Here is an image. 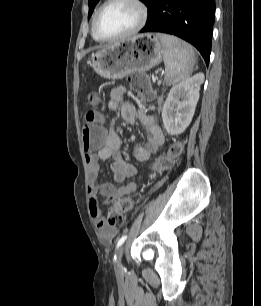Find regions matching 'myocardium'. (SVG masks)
Here are the masks:
<instances>
[{
    "mask_svg": "<svg viewBox=\"0 0 261 306\" xmlns=\"http://www.w3.org/2000/svg\"><path fill=\"white\" fill-rule=\"evenodd\" d=\"M119 1H125V2H129L135 5L139 10V14H140L139 20L137 24L135 25V27L125 34L111 36V37L103 36L100 34L98 30V21H99L100 15L102 14V12L104 11L106 7H108L109 5L115 2H119ZM147 18H148V9H147L146 4L142 0H106L98 8V10L96 11L94 15L93 22H92V34L96 40L103 41V42H114V41L126 39L138 33L145 26L147 22Z\"/></svg>",
    "mask_w": 261,
    "mask_h": 306,
    "instance_id": "f54148a6",
    "label": "myocardium"
}]
</instances>
